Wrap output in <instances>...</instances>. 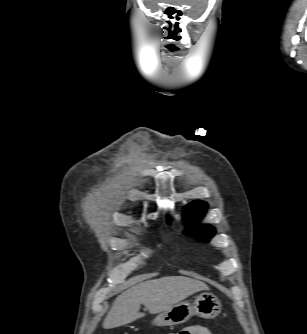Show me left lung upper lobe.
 I'll return each mask as SVG.
<instances>
[{"mask_svg":"<svg viewBox=\"0 0 307 334\" xmlns=\"http://www.w3.org/2000/svg\"><path fill=\"white\" fill-rule=\"evenodd\" d=\"M208 205L204 201H193L185 209L184 221L188 228L184 234L201 241L208 242L214 236L215 229L211 225H198L204 217Z\"/></svg>","mask_w":307,"mask_h":334,"instance_id":"obj_1","label":"left lung upper lobe"}]
</instances>
